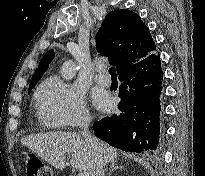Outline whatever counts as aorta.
I'll list each match as a JSON object with an SVG mask.
<instances>
[{
  "instance_id": "762f6f07",
  "label": "aorta",
  "mask_w": 205,
  "mask_h": 176,
  "mask_svg": "<svg viewBox=\"0 0 205 176\" xmlns=\"http://www.w3.org/2000/svg\"><path fill=\"white\" fill-rule=\"evenodd\" d=\"M76 74V66L72 61L65 62L61 67V76L65 80L72 79Z\"/></svg>"
}]
</instances>
